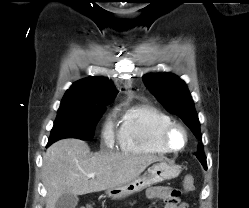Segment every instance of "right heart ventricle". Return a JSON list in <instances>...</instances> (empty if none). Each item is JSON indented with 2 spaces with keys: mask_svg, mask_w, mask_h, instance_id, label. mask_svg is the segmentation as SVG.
<instances>
[{
  "mask_svg": "<svg viewBox=\"0 0 249 208\" xmlns=\"http://www.w3.org/2000/svg\"><path fill=\"white\" fill-rule=\"evenodd\" d=\"M173 120L169 114L148 104H139L126 110L119 129V143L123 151L150 155L166 154L159 134Z\"/></svg>",
  "mask_w": 249,
  "mask_h": 208,
  "instance_id": "obj_1",
  "label": "right heart ventricle"
}]
</instances>
